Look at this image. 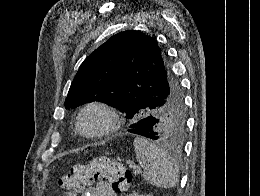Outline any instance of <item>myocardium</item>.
<instances>
[{
    "mask_svg": "<svg viewBox=\"0 0 260 196\" xmlns=\"http://www.w3.org/2000/svg\"><path fill=\"white\" fill-rule=\"evenodd\" d=\"M91 108H100L109 115V123L107 124V126L96 133H86L80 127L82 116ZM120 122V115L113 106L103 101H92L84 105L78 112L75 130L85 140L90 142H98L102 141L103 139L111 135L114 131H116L120 126Z\"/></svg>",
    "mask_w": 260,
    "mask_h": 196,
    "instance_id": "obj_1",
    "label": "myocardium"
}]
</instances>
